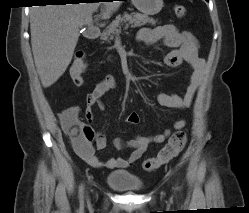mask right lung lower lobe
<instances>
[{
	"mask_svg": "<svg viewBox=\"0 0 249 213\" xmlns=\"http://www.w3.org/2000/svg\"><path fill=\"white\" fill-rule=\"evenodd\" d=\"M46 2L55 3V4H65V3H79V0H45Z\"/></svg>",
	"mask_w": 249,
	"mask_h": 213,
	"instance_id": "98d812e1",
	"label": "right lung lower lobe"
}]
</instances>
